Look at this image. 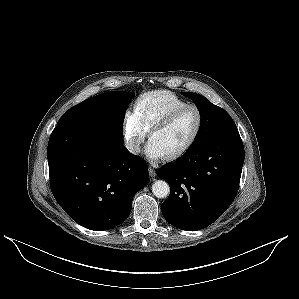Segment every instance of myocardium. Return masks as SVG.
I'll use <instances>...</instances> for the list:
<instances>
[{"mask_svg": "<svg viewBox=\"0 0 299 299\" xmlns=\"http://www.w3.org/2000/svg\"><path fill=\"white\" fill-rule=\"evenodd\" d=\"M189 109H194L197 114H198V124L196 127V130L194 132V134L192 135V137L189 139V141L179 150L166 155L165 157L168 160H175L178 159L182 156H184L187 152H189L191 150V148L195 145V143L197 142L202 128H203V124H204V114L203 111L201 110V108L195 104H188L185 105L183 107H180L176 110H174L173 112H171L168 116H166L165 118H163L162 120H160L159 122L155 123L149 130V138L151 139L152 135L156 132L159 131L161 129L167 128L168 126H170L182 113H184L185 111L189 110Z\"/></svg>", "mask_w": 299, "mask_h": 299, "instance_id": "1", "label": "myocardium"}]
</instances>
